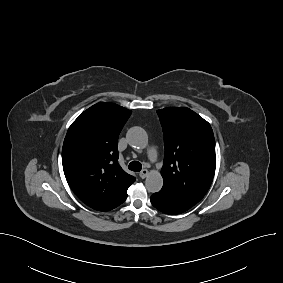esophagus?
Masks as SVG:
<instances>
[{
  "label": "esophagus",
  "instance_id": "1",
  "mask_svg": "<svg viewBox=\"0 0 283 283\" xmlns=\"http://www.w3.org/2000/svg\"><path fill=\"white\" fill-rule=\"evenodd\" d=\"M149 175V171L147 169H143L140 173L139 176L140 178L144 179Z\"/></svg>",
  "mask_w": 283,
  "mask_h": 283
}]
</instances>
